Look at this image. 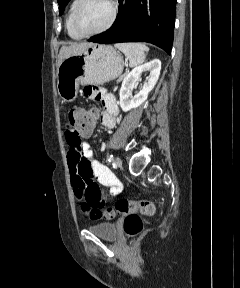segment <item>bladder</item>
Returning a JSON list of instances; mask_svg holds the SVG:
<instances>
[{"mask_svg":"<svg viewBox=\"0 0 240 288\" xmlns=\"http://www.w3.org/2000/svg\"><path fill=\"white\" fill-rule=\"evenodd\" d=\"M88 230L99 238L113 241L118 236V228L114 223L102 222L88 226Z\"/></svg>","mask_w":240,"mask_h":288,"instance_id":"obj_1","label":"bladder"}]
</instances>
